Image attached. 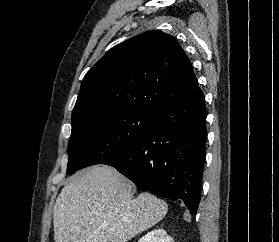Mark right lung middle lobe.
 <instances>
[{
	"mask_svg": "<svg viewBox=\"0 0 279 242\" xmlns=\"http://www.w3.org/2000/svg\"><path fill=\"white\" fill-rule=\"evenodd\" d=\"M157 113L119 109L72 119L67 173L100 164L132 147L155 126Z\"/></svg>",
	"mask_w": 279,
	"mask_h": 242,
	"instance_id": "obj_1",
	"label": "right lung middle lobe"
}]
</instances>
